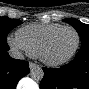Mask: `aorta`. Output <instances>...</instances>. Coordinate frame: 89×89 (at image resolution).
<instances>
[{
	"instance_id": "obj_1",
	"label": "aorta",
	"mask_w": 89,
	"mask_h": 89,
	"mask_svg": "<svg viewBox=\"0 0 89 89\" xmlns=\"http://www.w3.org/2000/svg\"><path fill=\"white\" fill-rule=\"evenodd\" d=\"M30 77L34 81H41L44 76L43 69L37 65L33 66L29 73Z\"/></svg>"
}]
</instances>
